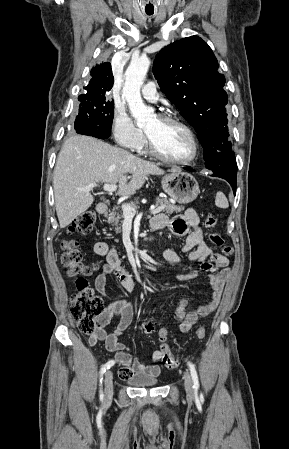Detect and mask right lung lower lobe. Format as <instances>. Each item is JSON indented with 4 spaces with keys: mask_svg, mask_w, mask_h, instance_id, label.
Listing matches in <instances>:
<instances>
[{
    "mask_svg": "<svg viewBox=\"0 0 289 449\" xmlns=\"http://www.w3.org/2000/svg\"><path fill=\"white\" fill-rule=\"evenodd\" d=\"M84 135L93 136V137L101 138V139L107 138V137H104V136L94 135V134H91V133H84Z\"/></svg>",
    "mask_w": 289,
    "mask_h": 449,
    "instance_id": "obj_1",
    "label": "right lung lower lobe"
}]
</instances>
